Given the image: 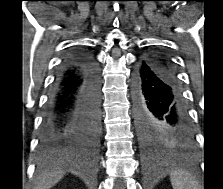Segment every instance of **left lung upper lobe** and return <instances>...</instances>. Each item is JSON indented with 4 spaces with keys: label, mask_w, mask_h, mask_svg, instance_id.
Wrapping results in <instances>:
<instances>
[{
    "label": "left lung upper lobe",
    "mask_w": 223,
    "mask_h": 189,
    "mask_svg": "<svg viewBox=\"0 0 223 189\" xmlns=\"http://www.w3.org/2000/svg\"><path fill=\"white\" fill-rule=\"evenodd\" d=\"M144 60L162 63L170 76L178 82L177 74L169 56L161 51H151L144 56ZM140 138L144 147L149 151L164 150L169 148H185L189 144H183L160 124L148 128H139Z\"/></svg>",
    "instance_id": "5c2ea615"
}]
</instances>
